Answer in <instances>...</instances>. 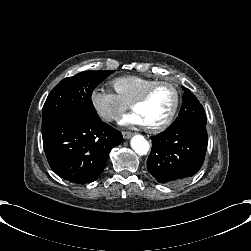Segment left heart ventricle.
Wrapping results in <instances>:
<instances>
[{
    "label": "left heart ventricle",
    "instance_id": "b2bd125f",
    "mask_svg": "<svg viewBox=\"0 0 251 251\" xmlns=\"http://www.w3.org/2000/svg\"><path fill=\"white\" fill-rule=\"evenodd\" d=\"M175 90L168 84L158 86L150 98L143 104L135 107L139 111L146 125H155L164 121L175 104Z\"/></svg>",
    "mask_w": 251,
    "mask_h": 251
}]
</instances>
